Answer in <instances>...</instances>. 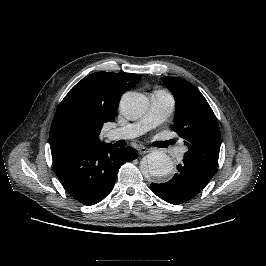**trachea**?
Here are the masks:
<instances>
[{
    "mask_svg": "<svg viewBox=\"0 0 266 266\" xmlns=\"http://www.w3.org/2000/svg\"><path fill=\"white\" fill-rule=\"evenodd\" d=\"M170 144H173V141H169V142H168V145H170Z\"/></svg>",
    "mask_w": 266,
    "mask_h": 266,
    "instance_id": "trachea-1",
    "label": "trachea"
}]
</instances>
